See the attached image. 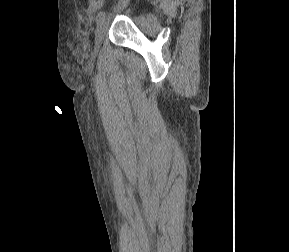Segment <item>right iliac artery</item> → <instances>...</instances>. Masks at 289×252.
Returning a JSON list of instances; mask_svg holds the SVG:
<instances>
[{
	"instance_id": "right-iliac-artery-1",
	"label": "right iliac artery",
	"mask_w": 289,
	"mask_h": 252,
	"mask_svg": "<svg viewBox=\"0 0 289 252\" xmlns=\"http://www.w3.org/2000/svg\"><path fill=\"white\" fill-rule=\"evenodd\" d=\"M105 18V12L101 11L98 13L97 17H96V23H100L103 19Z\"/></svg>"
}]
</instances>
